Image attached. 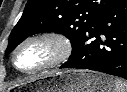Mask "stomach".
<instances>
[{"instance_id": "0dacf381", "label": "stomach", "mask_w": 127, "mask_h": 92, "mask_svg": "<svg viewBox=\"0 0 127 92\" xmlns=\"http://www.w3.org/2000/svg\"><path fill=\"white\" fill-rule=\"evenodd\" d=\"M31 87L33 92H114L112 79L87 70L44 73L31 80Z\"/></svg>"}]
</instances>
